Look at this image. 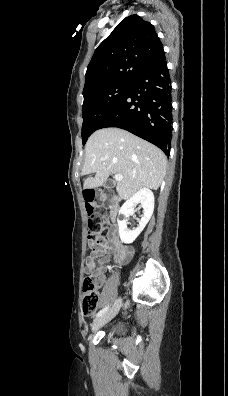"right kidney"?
Masks as SVG:
<instances>
[{
  "label": "right kidney",
  "mask_w": 228,
  "mask_h": 396,
  "mask_svg": "<svg viewBox=\"0 0 228 396\" xmlns=\"http://www.w3.org/2000/svg\"><path fill=\"white\" fill-rule=\"evenodd\" d=\"M137 204H140L143 208V216L139 221L138 228L130 230L127 228V218L134 214V207ZM153 211L154 195L148 188L138 190L131 198H129L119 210V215L124 216V218L122 220L117 219L121 241L125 244L133 243L149 222Z\"/></svg>",
  "instance_id": "1"
}]
</instances>
